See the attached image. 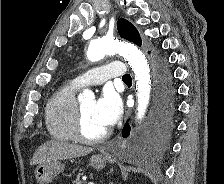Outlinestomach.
<instances>
[{"label":"stomach","mask_w":224,"mask_h":184,"mask_svg":"<svg viewBox=\"0 0 224 184\" xmlns=\"http://www.w3.org/2000/svg\"><path fill=\"white\" fill-rule=\"evenodd\" d=\"M108 161V157L104 154L93 155L90 159V165L97 169H104ZM64 169V164L60 161H51L39 164L34 172L35 179L40 184L51 183L57 175Z\"/></svg>","instance_id":"obj_1"}]
</instances>
